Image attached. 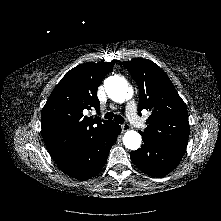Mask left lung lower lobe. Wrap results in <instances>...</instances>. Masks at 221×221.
<instances>
[{"mask_svg":"<svg viewBox=\"0 0 221 221\" xmlns=\"http://www.w3.org/2000/svg\"><path fill=\"white\" fill-rule=\"evenodd\" d=\"M141 135L144 144L137 151L130 153L131 160L140 170L158 178L176 168L185 149L162 143L144 134Z\"/></svg>","mask_w":221,"mask_h":221,"instance_id":"left-lung-lower-lobe-1","label":"left lung lower lobe"}]
</instances>
